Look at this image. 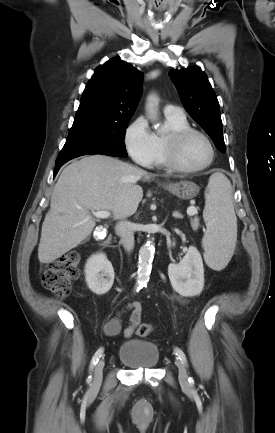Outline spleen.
<instances>
[{"instance_id":"spleen-1","label":"spleen","mask_w":275,"mask_h":433,"mask_svg":"<svg viewBox=\"0 0 275 433\" xmlns=\"http://www.w3.org/2000/svg\"><path fill=\"white\" fill-rule=\"evenodd\" d=\"M203 218L207 231L202 239L204 259L214 270L225 268L237 241V218L230 181L222 173L210 176L205 190Z\"/></svg>"}]
</instances>
